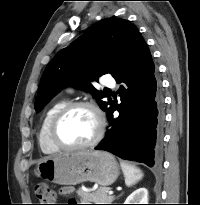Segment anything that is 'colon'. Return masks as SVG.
Here are the masks:
<instances>
[{
  "instance_id": "obj_1",
  "label": "colon",
  "mask_w": 200,
  "mask_h": 205,
  "mask_svg": "<svg viewBox=\"0 0 200 205\" xmlns=\"http://www.w3.org/2000/svg\"><path fill=\"white\" fill-rule=\"evenodd\" d=\"M35 195L40 203L38 205H56V193L46 183H38L35 186Z\"/></svg>"
}]
</instances>
